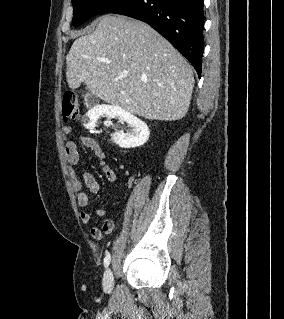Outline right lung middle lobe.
<instances>
[{
    "label": "right lung middle lobe",
    "instance_id": "dd1d6c3e",
    "mask_svg": "<svg viewBox=\"0 0 284 319\" xmlns=\"http://www.w3.org/2000/svg\"><path fill=\"white\" fill-rule=\"evenodd\" d=\"M129 0H72L74 7L73 25L79 26L91 17L110 12Z\"/></svg>",
    "mask_w": 284,
    "mask_h": 319
}]
</instances>
